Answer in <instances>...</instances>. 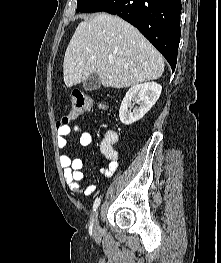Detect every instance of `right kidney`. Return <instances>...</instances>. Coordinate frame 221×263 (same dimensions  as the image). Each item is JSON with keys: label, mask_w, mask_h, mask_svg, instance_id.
Listing matches in <instances>:
<instances>
[{"label": "right kidney", "mask_w": 221, "mask_h": 263, "mask_svg": "<svg viewBox=\"0 0 221 263\" xmlns=\"http://www.w3.org/2000/svg\"><path fill=\"white\" fill-rule=\"evenodd\" d=\"M162 86L156 82H147L132 86L126 93L120 106L119 117L124 125L140 120L156 103ZM134 104H138L133 110Z\"/></svg>", "instance_id": "obj_1"}]
</instances>
